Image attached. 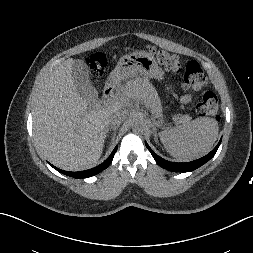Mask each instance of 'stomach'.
<instances>
[{"mask_svg":"<svg viewBox=\"0 0 253 253\" xmlns=\"http://www.w3.org/2000/svg\"><path fill=\"white\" fill-rule=\"evenodd\" d=\"M138 73L159 80L164 78V72L159 67L155 58L144 51L133 52L121 57L110 78L113 81L117 76L123 75L125 76V79H127ZM158 118L162 122V118L159 116Z\"/></svg>","mask_w":253,"mask_h":253,"instance_id":"stomach-1","label":"stomach"}]
</instances>
